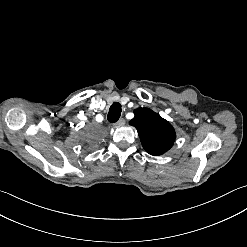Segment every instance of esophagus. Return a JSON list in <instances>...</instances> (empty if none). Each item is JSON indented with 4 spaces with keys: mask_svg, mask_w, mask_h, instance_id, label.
I'll return each mask as SVG.
<instances>
[{
    "mask_svg": "<svg viewBox=\"0 0 247 247\" xmlns=\"http://www.w3.org/2000/svg\"><path fill=\"white\" fill-rule=\"evenodd\" d=\"M124 124H125V119L121 118L115 123V126L119 127V126H123Z\"/></svg>",
    "mask_w": 247,
    "mask_h": 247,
    "instance_id": "34e87169",
    "label": "esophagus"
}]
</instances>
